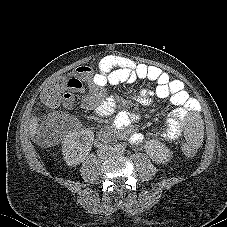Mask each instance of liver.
Wrapping results in <instances>:
<instances>
[{
    "label": "liver",
    "mask_w": 227,
    "mask_h": 227,
    "mask_svg": "<svg viewBox=\"0 0 227 227\" xmlns=\"http://www.w3.org/2000/svg\"><path fill=\"white\" fill-rule=\"evenodd\" d=\"M37 118L36 117H32V119L30 120V124H29V130H30V135L32 137L35 136L36 132H37Z\"/></svg>",
    "instance_id": "obj_1"
}]
</instances>
